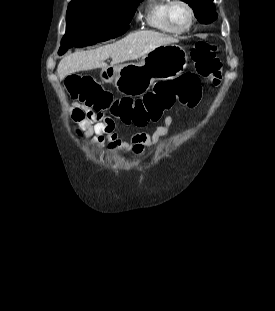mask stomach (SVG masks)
Segmentation results:
<instances>
[{"label": "stomach", "mask_w": 275, "mask_h": 311, "mask_svg": "<svg viewBox=\"0 0 275 311\" xmlns=\"http://www.w3.org/2000/svg\"><path fill=\"white\" fill-rule=\"evenodd\" d=\"M186 51L177 44L156 47L138 63L118 64L102 69L103 82L113 83L117 91L133 97L148 91L155 79L170 80L187 67Z\"/></svg>", "instance_id": "1"}]
</instances>
